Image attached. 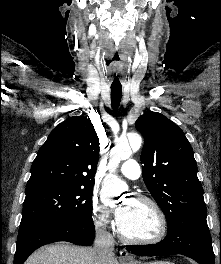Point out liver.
<instances>
[{
	"instance_id": "1",
	"label": "liver",
	"mask_w": 221,
	"mask_h": 264,
	"mask_svg": "<svg viewBox=\"0 0 221 264\" xmlns=\"http://www.w3.org/2000/svg\"><path fill=\"white\" fill-rule=\"evenodd\" d=\"M24 264H102L92 247H77L68 244H56L42 247L34 252ZM105 264H119L115 257Z\"/></svg>"
}]
</instances>
